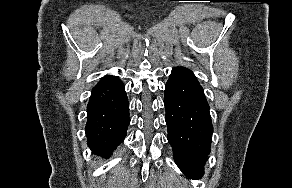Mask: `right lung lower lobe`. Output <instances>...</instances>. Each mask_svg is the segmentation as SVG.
I'll use <instances>...</instances> for the list:
<instances>
[{"label":"right lung lower lobe","mask_w":292,"mask_h":188,"mask_svg":"<svg viewBox=\"0 0 292 188\" xmlns=\"http://www.w3.org/2000/svg\"><path fill=\"white\" fill-rule=\"evenodd\" d=\"M130 123L125 85L117 76H105L92 89L87 104L85 132L95 152L112 153L126 137Z\"/></svg>","instance_id":"1"}]
</instances>
